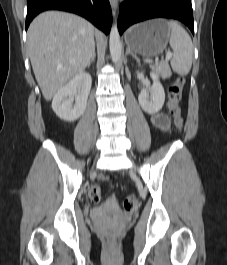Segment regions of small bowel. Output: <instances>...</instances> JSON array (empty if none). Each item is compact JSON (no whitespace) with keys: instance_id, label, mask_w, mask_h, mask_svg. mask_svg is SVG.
I'll return each mask as SVG.
<instances>
[{"instance_id":"small-bowel-1","label":"small bowel","mask_w":227,"mask_h":265,"mask_svg":"<svg viewBox=\"0 0 227 265\" xmlns=\"http://www.w3.org/2000/svg\"><path fill=\"white\" fill-rule=\"evenodd\" d=\"M151 123L161 132H167L169 129V119L164 113H156L151 116Z\"/></svg>"}]
</instances>
